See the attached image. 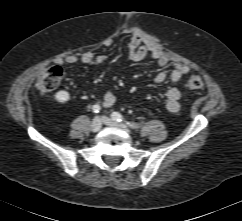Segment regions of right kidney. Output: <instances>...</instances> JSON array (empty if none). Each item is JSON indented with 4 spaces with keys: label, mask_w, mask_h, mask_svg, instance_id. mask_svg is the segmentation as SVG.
<instances>
[{
    "label": "right kidney",
    "mask_w": 242,
    "mask_h": 221,
    "mask_svg": "<svg viewBox=\"0 0 242 221\" xmlns=\"http://www.w3.org/2000/svg\"><path fill=\"white\" fill-rule=\"evenodd\" d=\"M55 99L60 103H65L70 99V95L65 90H60L55 94Z\"/></svg>",
    "instance_id": "obj_1"
}]
</instances>
